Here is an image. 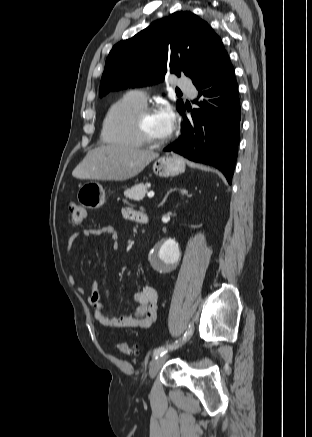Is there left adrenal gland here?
I'll return each instance as SVG.
<instances>
[{
  "label": "left adrenal gland",
  "mask_w": 312,
  "mask_h": 437,
  "mask_svg": "<svg viewBox=\"0 0 312 437\" xmlns=\"http://www.w3.org/2000/svg\"><path fill=\"white\" fill-rule=\"evenodd\" d=\"M175 190H176V189H171V190H169V191L167 192V194L165 195V197L163 198L162 202L159 204V206H162V205L166 202V200H167L169 194H170L171 192L175 191ZM180 191H181V194H187V191H186V190H180Z\"/></svg>",
  "instance_id": "left-adrenal-gland-1"
}]
</instances>
